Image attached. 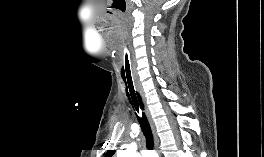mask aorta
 <instances>
[{
    "label": "aorta",
    "mask_w": 264,
    "mask_h": 157,
    "mask_svg": "<svg viewBox=\"0 0 264 157\" xmlns=\"http://www.w3.org/2000/svg\"><path fill=\"white\" fill-rule=\"evenodd\" d=\"M118 157H136V145L131 144L126 150L117 153Z\"/></svg>",
    "instance_id": "1"
}]
</instances>
